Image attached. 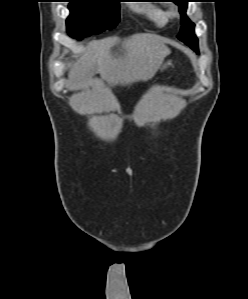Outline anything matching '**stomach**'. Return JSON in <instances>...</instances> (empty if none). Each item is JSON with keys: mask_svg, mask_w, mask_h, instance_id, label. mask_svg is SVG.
<instances>
[{"mask_svg": "<svg viewBox=\"0 0 248 299\" xmlns=\"http://www.w3.org/2000/svg\"><path fill=\"white\" fill-rule=\"evenodd\" d=\"M169 66H172V61L171 60L164 63L163 66H162V69H167Z\"/></svg>", "mask_w": 248, "mask_h": 299, "instance_id": "0dacf381", "label": "stomach"}]
</instances>
